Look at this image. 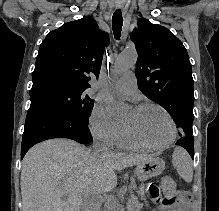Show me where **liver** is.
I'll use <instances>...</instances> for the list:
<instances>
[{"label":"liver","instance_id":"obj_1","mask_svg":"<svg viewBox=\"0 0 219 211\" xmlns=\"http://www.w3.org/2000/svg\"><path fill=\"white\" fill-rule=\"evenodd\" d=\"M148 155L108 153L94 157L66 137L33 145L22 161L23 211H94L100 209L103 191L115 187V169L131 167ZM63 195H66L63 199Z\"/></svg>","mask_w":219,"mask_h":211}]
</instances>
